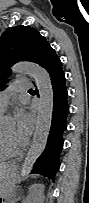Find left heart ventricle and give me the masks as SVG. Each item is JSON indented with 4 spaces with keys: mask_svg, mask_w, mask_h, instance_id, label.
<instances>
[{
    "mask_svg": "<svg viewBox=\"0 0 89 203\" xmlns=\"http://www.w3.org/2000/svg\"><path fill=\"white\" fill-rule=\"evenodd\" d=\"M6 141L12 148H21L25 143L16 135L14 123L9 124L3 130Z\"/></svg>",
    "mask_w": 89,
    "mask_h": 203,
    "instance_id": "obj_1",
    "label": "left heart ventricle"
}]
</instances>
